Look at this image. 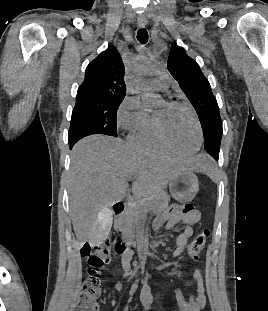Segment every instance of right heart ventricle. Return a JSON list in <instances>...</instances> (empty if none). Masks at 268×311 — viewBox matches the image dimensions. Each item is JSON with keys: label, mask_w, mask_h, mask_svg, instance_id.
I'll return each instance as SVG.
<instances>
[{"label": "right heart ventricle", "mask_w": 268, "mask_h": 311, "mask_svg": "<svg viewBox=\"0 0 268 311\" xmlns=\"http://www.w3.org/2000/svg\"><path fill=\"white\" fill-rule=\"evenodd\" d=\"M129 140L133 145L142 149L167 150L157 135L153 114L148 115L147 120L141 126L130 132Z\"/></svg>", "instance_id": "right-heart-ventricle-1"}]
</instances>
